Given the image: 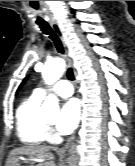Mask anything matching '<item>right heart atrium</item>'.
I'll return each instance as SVG.
<instances>
[{"label":"right heart atrium","mask_w":135,"mask_h":166,"mask_svg":"<svg viewBox=\"0 0 135 166\" xmlns=\"http://www.w3.org/2000/svg\"><path fill=\"white\" fill-rule=\"evenodd\" d=\"M48 136L50 138H54V133H53L52 129H50V128H48Z\"/></svg>","instance_id":"obj_1"}]
</instances>
